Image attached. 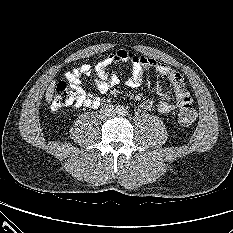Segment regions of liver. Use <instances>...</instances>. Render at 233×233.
Returning <instances> with one entry per match:
<instances>
[{
  "label": "liver",
  "mask_w": 233,
  "mask_h": 233,
  "mask_svg": "<svg viewBox=\"0 0 233 233\" xmlns=\"http://www.w3.org/2000/svg\"><path fill=\"white\" fill-rule=\"evenodd\" d=\"M54 88H55V82H52L51 84H50V86L47 88V90H46V95H45V97H46V100L48 101V102H50L51 100H52V97H53V93H54Z\"/></svg>",
  "instance_id": "liver-1"
}]
</instances>
